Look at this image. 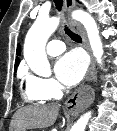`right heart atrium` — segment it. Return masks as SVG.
Wrapping results in <instances>:
<instances>
[{"label":"right heart atrium","mask_w":117,"mask_h":131,"mask_svg":"<svg viewBox=\"0 0 117 131\" xmlns=\"http://www.w3.org/2000/svg\"><path fill=\"white\" fill-rule=\"evenodd\" d=\"M26 79L30 85L35 87L47 99H55L59 97L62 92L61 86L54 79L33 75L27 76Z\"/></svg>","instance_id":"d8ad5b80"}]
</instances>
